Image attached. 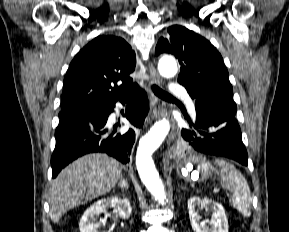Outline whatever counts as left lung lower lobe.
<instances>
[{
  "label": "left lung lower lobe",
  "instance_id": "left-lung-lower-lobe-1",
  "mask_svg": "<svg viewBox=\"0 0 289 232\" xmlns=\"http://www.w3.org/2000/svg\"><path fill=\"white\" fill-rule=\"evenodd\" d=\"M194 101L196 121L188 120L189 129L181 130L185 151L223 156L247 166L236 113L210 102Z\"/></svg>",
  "mask_w": 289,
  "mask_h": 232
}]
</instances>
